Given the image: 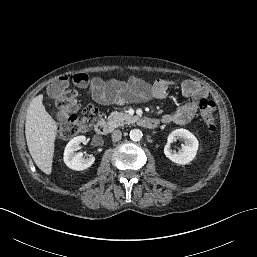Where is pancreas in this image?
I'll return each instance as SVG.
<instances>
[{
  "label": "pancreas",
  "instance_id": "obj_1",
  "mask_svg": "<svg viewBox=\"0 0 257 257\" xmlns=\"http://www.w3.org/2000/svg\"><path fill=\"white\" fill-rule=\"evenodd\" d=\"M135 120L134 116H130L125 114L124 112H112L108 117V124L113 127L117 128L119 126H123L125 124H129Z\"/></svg>",
  "mask_w": 257,
  "mask_h": 257
}]
</instances>
